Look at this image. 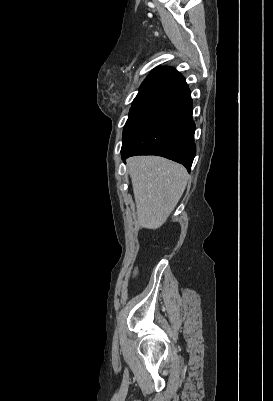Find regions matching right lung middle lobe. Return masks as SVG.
I'll return each mask as SVG.
<instances>
[{
    "label": "right lung middle lobe",
    "instance_id": "dd1d6c3e",
    "mask_svg": "<svg viewBox=\"0 0 273 401\" xmlns=\"http://www.w3.org/2000/svg\"><path fill=\"white\" fill-rule=\"evenodd\" d=\"M169 99L170 97L159 95L136 96L123 130V144L129 140L143 122L161 108Z\"/></svg>",
    "mask_w": 273,
    "mask_h": 401
}]
</instances>
